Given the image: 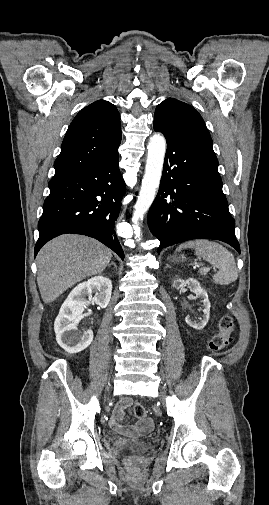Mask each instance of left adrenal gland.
I'll return each instance as SVG.
<instances>
[{
	"mask_svg": "<svg viewBox=\"0 0 269 505\" xmlns=\"http://www.w3.org/2000/svg\"><path fill=\"white\" fill-rule=\"evenodd\" d=\"M166 268H171V267H170L168 264H166L165 269H166Z\"/></svg>",
	"mask_w": 269,
	"mask_h": 505,
	"instance_id": "a2214340",
	"label": "left adrenal gland"
}]
</instances>
